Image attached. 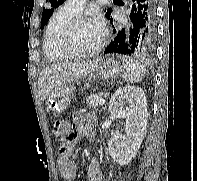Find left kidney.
I'll return each mask as SVG.
<instances>
[{
  "label": "left kidney",
  "instance_id": "5707ae66",
  "mask_svg": "<svg viewBox=\"0 0 197 181\" xmlns=\"http://www.w3.org/2000/svg\"><path fill=\"white\" fill-rule=\"evenodd\" d=\"M125 103H129L130 108L125 110ZM109 112L126 119L125 135L113 136L109 140V153L113 160L126 165L135 157L146 134L148 112L144 91L135 86L118 89L111 97Z\"/></svg>",
  "mask_w": 197,
  "mask_h": 181
}]
</instances>
